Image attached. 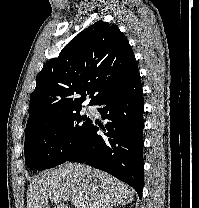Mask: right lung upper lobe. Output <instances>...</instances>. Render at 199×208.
<instances>
[{
  "instance_id": "cb5924a9",
  "label": "right lung upper lobe",
  "mask_w": 199,
  "mask_h": 208,
  "mask_svg": "<svg viewBox=\"0 0 199 208\" xmlns=\"http://www.w3.org/2000/svg\"><path fill=\"white\" fill-rule=\"evenodd\" d=\"M138 74L134 53L124 34L116 25L96 22L73 38L37 75L25 134L80 109L87 94L93 105Z\"/></svg>"
}]
</instances>
